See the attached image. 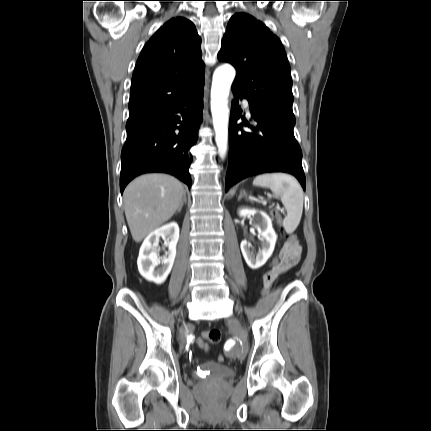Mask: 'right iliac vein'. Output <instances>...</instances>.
Masks as SVG:
<instances>
[{"label": "right iliac vein", "mask_w": 431, "mask_h": 431, "mask_svg": "<svg viewBox=\"0 0 431 431\" xmlns=\"http://www.w3.org/2000/svg\"><path fill=\"white\" fill-rule=\"evenodd\" d=\"M179 340H180V345L184 346V344H185V334H184V330L183 329L180 331Z\"/></svg>", "instance_id": "63e3f726"}]
</instances>
